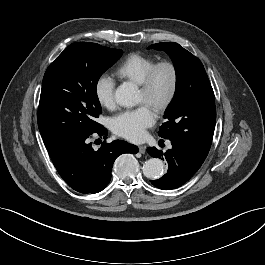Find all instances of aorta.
Instances as JSON below:
<instances>
[{
	"instance_id": "762f6f07",
	"label": "aorta",
	"mask_w": 265,
	"mask_h": 265,
	"mask_svg": "<svg viewBox=\"0 0 265 265\" xmlns=\"http://www.w3.org/2000/svg\"><path fill=\"white\" fill-rule=\"evenodd\" d=\"M115 101L123 107H132L139 103V92L132 83H123L115 91ZM143 174L152 180L160 178L164 173V163L158 158H150L143 165Z\"/></svg>"
}]
</instances>
